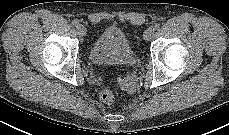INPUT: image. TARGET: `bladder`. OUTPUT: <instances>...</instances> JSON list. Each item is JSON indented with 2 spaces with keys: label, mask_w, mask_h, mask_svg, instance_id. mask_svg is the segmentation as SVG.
Wrapping results in <instances>:
<instances>
[{
  "label": "bladder",
  "mask_w": 229,
  "mask_h": 135,
  "mask_svg": "<svg viewBox=\"0 0 229 135\" xmlns=\"http://www.w3.org/2000/svg\"><path fill=\"white\" fill-rule=\"evenodd\" d=\"M88 58L96 65H120L134 60V50L124 31L116 25L105 27L93 41Z\"/></svg>",
  "instance_id": "bladder-1"
}]
</instances>
